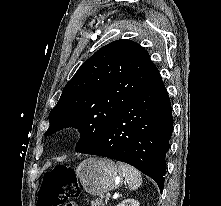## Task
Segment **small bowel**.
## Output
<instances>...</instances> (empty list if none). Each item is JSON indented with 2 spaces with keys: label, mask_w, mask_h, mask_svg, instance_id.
Returning a JSON list of instances; mask_svg holds the SVG:
<instances>
[{
  "label": "small bowel",
  "mask_w": 221,
  "mask_h": 206,
  "mask_svg": "<svg viewBox=\"0 0 221 206\" xmlns=\"http://www.w3.org/2000/svg\"><path fill=\"white\" fill-rule=\"evenodd\" d=\"M65 206H78L76 203H68V204H65Z\"/></svg>",
  "instance_id": "obj_1"
}]
</instances>
